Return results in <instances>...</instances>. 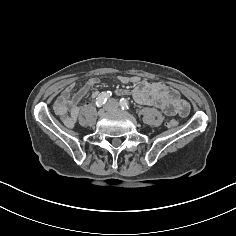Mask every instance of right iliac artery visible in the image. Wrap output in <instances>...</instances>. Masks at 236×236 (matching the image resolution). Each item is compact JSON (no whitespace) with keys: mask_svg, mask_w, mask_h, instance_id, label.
Returning <instances> with one entry per match:
<instances>
[{"mask_svg":"<svg viewBox=\"0 0 236 236\" xmlns=\"http://www.w3.org/2000/svg\"><path fill=\"white\" fill-rule=\"evenodd\" d=\"M111 95L112 93L110 91L102 92L101 94H99L98 97L96 98L97 107H101L103 104H105V102Z\"/></svg>","mask_w":236,"mask_h":236,"instance_id":"obj_1","label":"right iliac artery"}]
</instances>
